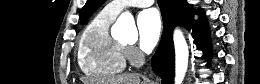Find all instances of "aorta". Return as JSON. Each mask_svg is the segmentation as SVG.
<instances>
[{"label": "aorta", "mask_w": 260, "mask_h": 84, "mask_svg": "<svg viewBox=\"0 0 260 84\" xmlns=\"http://www.w3.org/2000/svg\"><path fill=\"white\" fill-rule=\"evenodd\" d=\"M115 26L120 37L127 41H134L138 37L134 18L129 12L122 13L117 19ZM173 40L175 47V84H182L188 68V45L179 29L174 31Z\"/></svg>", "instance_id": "1"}]
</instances>
